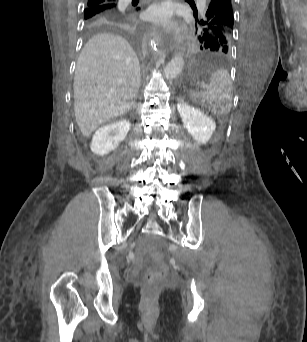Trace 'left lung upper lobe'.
Returning a JSON list of instances; mask_svg holds the SVG:
<instances>
[{"instance_id": "5c2ea615", "label": "left lung upper lobe", "mask_w": 307, "mask_h": 342, "mask_svg": "<svg viewBox=\"0 0 307 342\" xmlns=\"http://www.w3.org/2000/svg\"><path fill=\"white\" fill-rule=\"evenodd\" d=\"M196 18L195 43L202 51L228 54L233 34V8L231 0H209L208 9L200 17L193 0H186Z\"/></svg>"}]
</instances>
